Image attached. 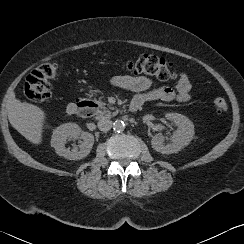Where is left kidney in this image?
<instances>
[{
  "mask_svg": "<svg viewBox=\"0 0 244 244\" xmlns=\"http://www.w3.org/2000/svg\"><path fill=\"white\" fill-rule=\"evenodd\" d=\"M166 118L176 128L170 142L165 143L164 137L158 134L151 139V145L155 151L161 154L177 153L194 139V124L188 117L179 113H169Z\"/></svg>",
  "mask_w": 244,
  "mask_h": 244,
  "instance_id": "left-kidney-1",
  "label": "left kidney"
}]
</instances>
